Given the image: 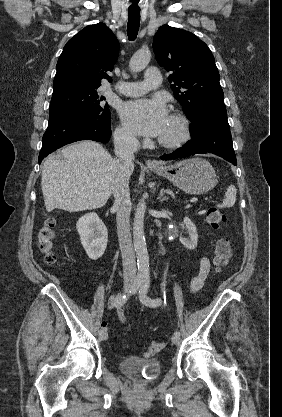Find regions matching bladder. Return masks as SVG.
<instances>
[{"label": "bladder", "mask_w": 282, "mask_h": 417, "mask_svg": "<svg viewBox=\"0 0 282 417\" xmlns=\"http://www.w3.org/2000/svg\"><path fill=\"white\" fill-rule=\"evenodd\" d=\"M119 369L135 383L146 385L160 374L161 365L156 359L126 356L121 359Z\"/></svg>", "instance_id": "bladder-1"}]
</instances>
